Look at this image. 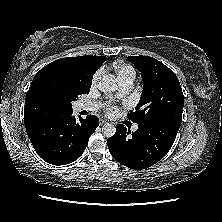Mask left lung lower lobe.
<instances>
[{
  "label": "left lung lower lobe",
  "mask_w": 222,
  "mask_h": 222,
  "mask_svg": "<svg viewBox=\"0 0 222 222\" xmlns=\"http://www.w3.org/2000/svg\"><path fill=\"white\" fill-rule=\"evenodd\" d=\"M132 132L122 124L116 125V133L108 138L111 155L131 169H146L161 160L172 147L181 123L159 120L138 124Z\"/></svg>",
  "instance_id": "left-lung-lower-lobe-1"
}]
</instances>
